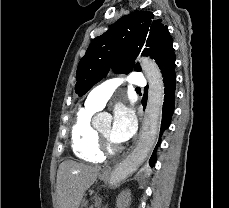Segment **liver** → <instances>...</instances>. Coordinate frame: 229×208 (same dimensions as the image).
I'll use <instances>...</instances> for the list:
<instances>
[{"label":"liver","instance_id":"1","mask_svg":"<svg viewBox=\"0 0 229 208\" xmlns=\"http://www.w3.org/2000/svg\"><path fill=\"white\" fill-rule=\"evenodd\" d=\"M100 166H85L73 160L62 162L57 172V204L59 208H79L82 198L101 174Z\"/></svg>","mask_w":229,"mask_h":208}]
</instances>
